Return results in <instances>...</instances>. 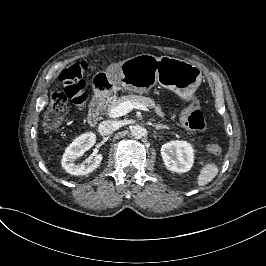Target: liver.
<instances>
[{"label": "liver", "instance_id": "1", "mask_svg": "<svg viewBox=\"0 0 266 266\" xmlns=\"http://www.w3.org/2000/svg\"><path fill=\"white\" fill-rule=\"evenodd\" d=\"M100 76H105L106 78H108V82L111 85L110 90H97L95 85L99 88H101L100 83H103L104 81L99 77ZM114 74L111 71V74L108 75L106 72L102 71V72H97L96 74H94L93 77H91V81H93V92L96 94L98 93V97L100 98H111L113 99L114 97H116V90L118 89V84L117 81H112L111 76H113Z\"/></svg>", "mask_w": 266, "mask_h": 266}]
</instances>
